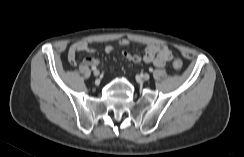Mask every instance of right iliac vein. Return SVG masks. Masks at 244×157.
Listing matches in <instances>:
<instances>
[{"label": "right iliac vein", "mask_w": 244, "mask_h": 157, "mask_svg": "<svg viewBox=\"0 0 244 157\" xmlns=\"http://www.w3.org/2000/svg\"><path fill=\"white\" fill-rule=\"evenodd\" d=\"M99 71L98 70H96V71H94V76H96V77H98L99 76Z\"/></svg>", "instance_id": "obj_1"}]
</instances>
